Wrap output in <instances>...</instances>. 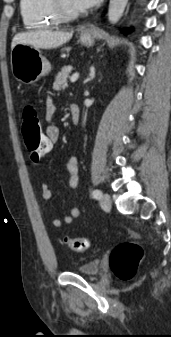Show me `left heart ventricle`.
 I'll return each mask as SVG.
<instances>
[{
	"mask_svg": "<svg viewBox=\"0 0 171 337\" xmlns=\"http://www.w3.org/2000/svg\"><path fill=\"white\" fill-rule=\"evenodd\" d=\"M65 5L72 10H79L74 4L72 0H63Z\"/></svg>",
	"mask_w": 171,
	"mask_h": 337,
	"instance_id": "obj_1",
	"label": "left heart ventricle"
}]
</instances>
